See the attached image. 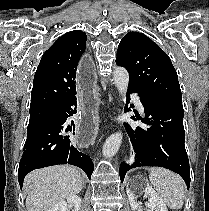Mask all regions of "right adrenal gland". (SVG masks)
Returning <instances> with one entry per match:
<instances>
[{"label": "right adrenal gland", "instance_id": "right-adrenal-gland-1", "mask_svg": "<svg viewBox=\"0 0 209 211\" xmlns=\"http://www.w3.org/2000/svg\"><path fill=\"white\" fill-rule=\"evenodd\" d=\"M83 187L85 188V182H83Z\"/></svg>", "mask_w": 209, "mask_h": 211}]
</instances>
